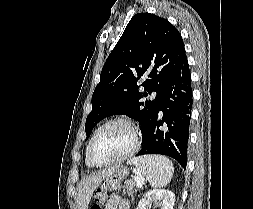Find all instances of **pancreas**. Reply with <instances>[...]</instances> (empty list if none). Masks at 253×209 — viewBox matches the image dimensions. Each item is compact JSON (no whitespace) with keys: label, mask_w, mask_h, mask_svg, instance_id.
<instances>
[{"label":"pancreas","mask_w":253,"mask_h":209,"mask_svg":"<svg viewBox=\"0 0 253 209\" xmlns=\"http://www.w3.org/2000/svg\"><path fill=\"white\" fill-rule=\"evenodd\" d=\"M135 186H136V182L135 181L127 180L125 182V185L123 186V188H124L123 194L125 195L126 194V190H127L128 195L133 196L134 192L136 191V190H134Z\"/></svg>","instance_id":"obj_1"}]
</instances>
